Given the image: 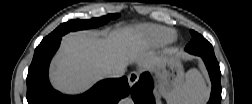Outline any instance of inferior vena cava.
Wrapping results in <instances>:
<instances>
[{
  "label": "inferior vena cava",
  "mask_w": 252,
  "mask_h": 104,
  "mask_svg": "<svg viewBox=\"0 0 252 104\" xmlns=\"http://www.w3.org/2000/svg\"><path fill=\"white\" fill-rule=\"evenodd\" d=\"M125 69L126 68L124 65H119L116 67L107 68L106 70H104V75L106 77H110V78H119L124 75Z\"/></svg>",
  "instance_id": "inferior-vena-cava-1"
}]
</instances>
